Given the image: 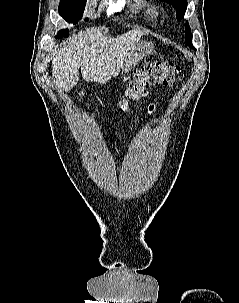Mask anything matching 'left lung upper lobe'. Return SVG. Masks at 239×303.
<instances>
[{"label": "left lung upper lobe", "mask_w": 239, "mask_h": 303, "mask_svg": "<svg viewBox=\"0 0 239 303\" xmlns=\"http://www.w3.org/2000/svg\"><path fill=\"white\" fill-rule=\"evenodd\" d=\"M161 1H166L174 6V8L177 10L176 11V16L177 19L180 20L184 17V14L186 12L187 8V1L186 0H161ZM185 42L195 49L192 45V34H191V29L189 27L188 22H186V28H185Z\"/></svg>", "instance_id": "5c2ea615"}]
</instances>
